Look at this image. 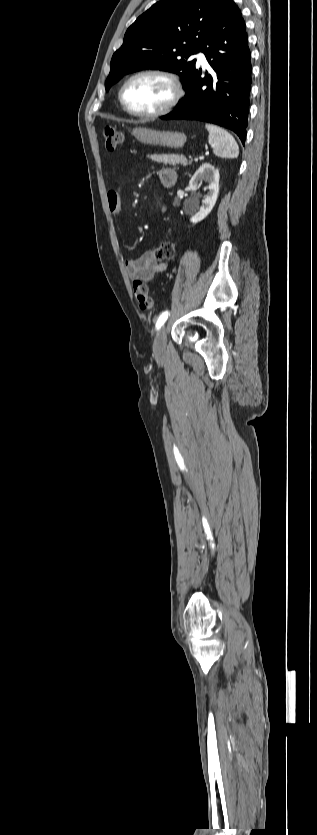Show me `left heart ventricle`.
Segmentation results:
<instances>
[{
    "instance_id": "obj_1",
    "label": "left heart ventricle",
    "mask_w": 317,
    "mask_h": 835,
    "mask_svg": "<svg viewBox=\"0 0 317 835\" xmlns=\"http://www.w3.org/2000/svg\"><path fill=\"white\" fill-rule=\"evenodd\" d=\"M172 95L170 84L158 76H141L124 90L128 107L138 112H153L163 107Z\"/></svg>"
}]
</instances>
